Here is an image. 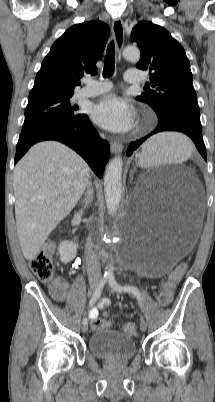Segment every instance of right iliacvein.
<instances>
[{
	"label": "right iliac vein",
	"instance_id": "63e3f726",
	"mask_svg": "<svg viewBox=\"0 0 215 402\" xmlns=\"http://www.w3.org/2000/svg\"><path fill=\"white\" fill-rule=\"evenodd\" d=\"M91 287H92V289H96V285H95V284H93ZM82 331H83L84 333H86V332L88 331V325H87V324H83V326H82Z\"/></svg>",
	"mask_w": 215,
	"mask_h": 402
}]
</instances>
